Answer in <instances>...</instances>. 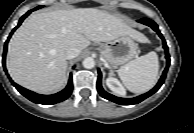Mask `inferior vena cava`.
<instances>
[{
    "label": "inferior vena cava",
    "mask_w": 194,
    "mask_h": 133,
    "mask_svg": "<svg viewBox=\"0 0 194 133\" xmlns=\"http://www.w3.org/2000/svg\"><path fill=\"white\" fill-rule=\"evenodd\" d=\"M80 54V50L76 47H69L65 51V58L66 59H73L76 58Z\"/></svg>",
    "instance_id": "1"
}]
</instances>
